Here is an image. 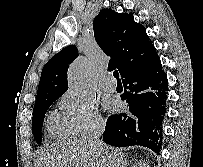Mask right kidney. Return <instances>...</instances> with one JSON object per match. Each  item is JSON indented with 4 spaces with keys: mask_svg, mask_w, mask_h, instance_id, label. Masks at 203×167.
<instances>
[{
    "mask_svg": "<svg viewBox=\"0 0 203 167\" xmlns=\"http://www.w3.org/2000/svg\"><path fill=\"white\" fill-rule=\"evenodd\" d=\"M132 167H150V166L148 164H146V162L140 161V162L135 163Z\"/></svg>",
    "mask_w": 203,
    "mask_h": 167,
    "instance_id": "ca27d5eb",
    "label": "right kidney"
}]
</instances>
